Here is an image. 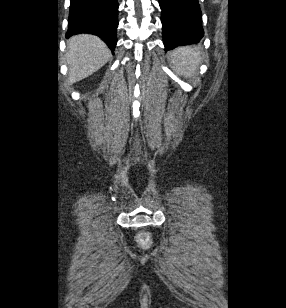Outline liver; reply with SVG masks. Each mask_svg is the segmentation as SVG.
<instances>
[{
  "instance_id": "6515ba94",
  "label": "liver",
  "mask_w": 286,
  "mask_h": 308,
  "mask_svg": "<svg viewBox=\"0 0 286 308\" xmlns=\"http://www.w3.org/2000/svg\"><path fill=\"white\" fill-rule=\"evenodd\" d=\"M69 82L85 79L103 67L111 58L106 44L93 35H76L67 41Z\"/></svg>"
}]
</instances>
